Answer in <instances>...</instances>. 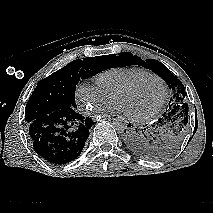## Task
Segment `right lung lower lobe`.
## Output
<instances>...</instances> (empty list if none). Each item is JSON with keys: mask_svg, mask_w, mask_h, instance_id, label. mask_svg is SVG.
<instances>
[{"mask_svg": "<svg viewBox=\"0 0 213 213\" xmlns=\"http://www.w3.org/2000/svg\"><path fill=\"white\" fill-rule=\"evenodd\" d=\"M95 122L77 113L75 108H63L28 124L35 152L44 160L66 164L82 152Z\"/></svg>", "mask_w": 213, "mask_h": 213, "instance_id": "obj_1", "label": "right lung lower lobe"}]
</instances>
